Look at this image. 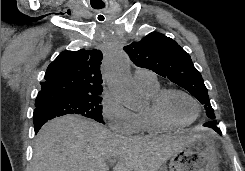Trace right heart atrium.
<instances>
[{
  "label": "right heart atrium",
  "mask_w": 245,
  "mask_h": 171,
  "mask_svg": "<svg viewBox=\"0 0 245 171\" xmlns=\"http://www.w3.org/2000/svg\"><path fill=\"white\" fill-rule=\"evenodd\" d=\"M102 116L109 128L122 135H132L139 130L137 114L124 107L112 94L102 100Z\"/></svg>",
  "instance_id": "1"
}]
</instances>
